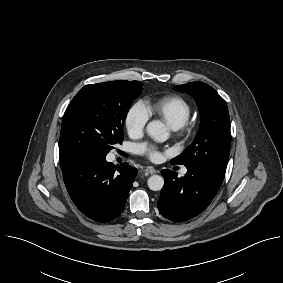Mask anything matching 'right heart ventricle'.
Here are the masks:
<instances>
[{"mask_svg": "<svg viewBox=\"0 0 283 283\" xmlns=\"http://www.w3.org/2000/svg\"><path fill=\"white\" fill-rule=\"evenodd\" d=\"M145 109L148 115L164 120L172 129L180 128L191 114V106L179 95L170 94L147 101Z\"/></svg>", "mask_w": 283, "mask_h": 283, "instance_id": "obj_1", "label": "right heart ventricle"}]
</instances>
